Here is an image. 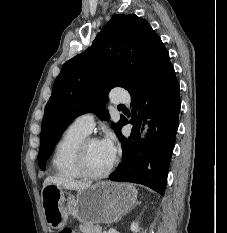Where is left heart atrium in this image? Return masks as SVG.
<instances>
[{
	"label": "left heart atrium",
	"instance_id": "1",
	"mask_svg": "<svg viewBox=\"0 0 227 233\" xmlns=\"http://www.w3.org/2000/svg\"><path fill=\"white\" fill-rule=\"evenodd\" d=\"M99 142L112 157L115 156L117 150L116 138L112 132L107 131L104 137Z\"/></svg>",
	"mask_w": 227,
	"mask_h": 233
}]
</instances>
